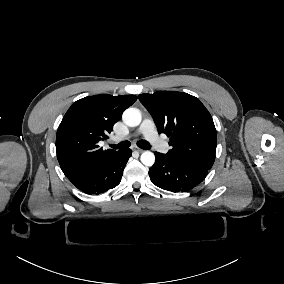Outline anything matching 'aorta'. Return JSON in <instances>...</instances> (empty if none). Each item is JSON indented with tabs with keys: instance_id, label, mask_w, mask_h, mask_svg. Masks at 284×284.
I'll list each match as a JSON object with an SVG mask.
<instances>
[{
	"instance_id": "obj_1",
	"label": "aorta",
	"mask_w": 284,
	"mask_h": 284,
	"mask_svg": "<svg viewBox=\"0 0 284 284\" xmlns=\"http://www.w3.org/2000/svg\"><path fill=\"white\" fill-rule=\"evenodd\" d=\"M123 122L129 127H136L141 123V113L137 108H128L122 116ZM141 162L145 166H152L155 163V155L150 151L141 154Z\"/></svg>"
}]
</instances>
